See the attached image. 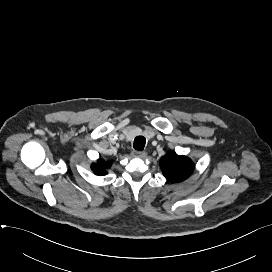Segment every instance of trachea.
<instances>
[{"mask_svg": "<svg viewBox=\"0 0 272 272\" xmlns=\"http://www.w3.org/2000/svg\"><path fill=\"white\" fill-rule=\"evenodd\" d=\"M146 139L144 136H137L134 139V149L138 151H143L145 147Z\"/></svg>", "mask_w": 272, "mask_h": 272, "instance_id": "trachea-1", "label": "trachea"}]
</instances>
